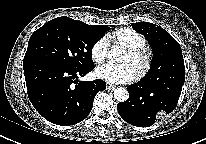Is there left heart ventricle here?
Here are the masks:
<instances>
[{"mask_svg":"<svg viewBox=\"0 0 206 144\" xmlns=\"http://www.w3.org/2000/svg\"><path fill=\"white\" fill-rule=\"evenodd\" d=\"M123 62H127V63H131L135 69H138L137 63L133 60V58L131 57V55L127 52L123 58Z\"/></svg>","mask_w":206,"mask_h":144,"instance_id":"obj_1","label":"left heart ventricle"}]
</instances>
